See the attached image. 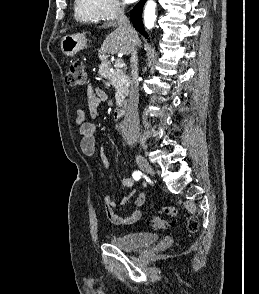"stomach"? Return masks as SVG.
<instances>
[{"label":"stomach","instance_id":"1","mask_svg":"<svg viewBox=\"0 0 259 294\" xmlns=\"http://www.w3.org/2000/svg\"><path fill=\"white\" fill-rule=\"evenodd\" d=\"M87 47V39L84 34H70L63 37L61 50L64 55L70 57Z\"/></svg>","mask_w":259,"mask_h":294}]
</instances>
